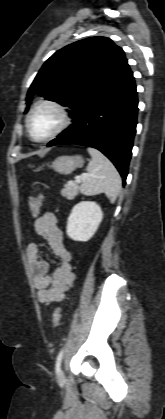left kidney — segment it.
Listing matches in <instances>:
<instances>
[{
  "label": "left kidney",
  "mask_w": 165,
  "mask_h": 419,
  "mask_svg": "<svg viewBox=\"0 0 165 419\" xmlns=\"http://www.w3.org/2000/svg\"><path fill=\"white\" fill-rule=\"evenodd\" d=\"M103 219L100 206L91 201H82L76 204L67 221V235L75 240L86 242L97 231Z\"/></svg>",
  "instance_id": "5707ae66"
}]
</instances>
